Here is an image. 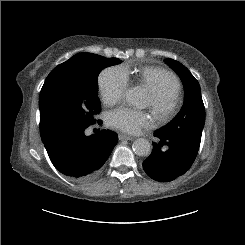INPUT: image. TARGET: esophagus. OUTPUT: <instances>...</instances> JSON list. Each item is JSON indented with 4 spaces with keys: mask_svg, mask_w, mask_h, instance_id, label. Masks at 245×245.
<instances>
[{
    "mask_svg": "<svg viewBox=\"0 0 245 245\" xmlns=\"http://www.w3.org/2000/svg\"><path fill=\"white\" fill-rule=\"evenodd\" d=\"M119 140L124 141V140H133L134 137L125 135V134H119L118 135Z\"/></svg>",
    "mask_w": 245,
    "mask_h": 245,
    "instance_id": "1",
    "label": "esophagus"
}]
</instances>
